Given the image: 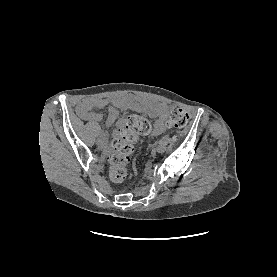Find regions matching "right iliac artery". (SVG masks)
Returning a JSON list of instances; mask_svg holds the SVG:
<instances>
[{"label":"right iliac artery","instance_id":"right-iliac-artery-1","mask_svg":"<svg viewBox=\"0 0 277 277\" xmlns=\"http://www.w3.org/2000/svg\"><path fill=\"white\" fill-rule=\"evenodd\" d=\"M106 135H105V133L104 132H100L99 133V138H103V137H105Z\"/></svg>","mask_w":277,"mask_h":277}]
</instances>
